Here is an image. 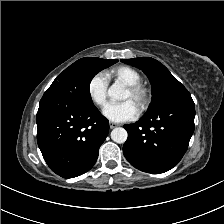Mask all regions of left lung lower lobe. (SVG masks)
<instances>
[{
    "label": "left lung lower lobe",
    "instance_id": "0a47b994",
    "mask_svg": "<svg viewBox=\"0 0 224 224\" xmlns=\"http://www.w3.org/2000/svg\"><path fill=\"white\" fill-rule=\"evenodd\" d=\"M194 117V102L186 98L125 125L128 139L123 146L124 156L143 172L158 174L172 169L188 148Z\"/></svg>",
    "mask_w": 224,
    "mask_h": 224
}]
</instances>
